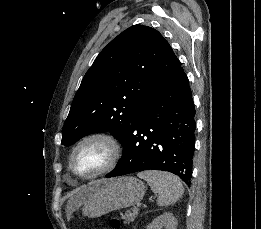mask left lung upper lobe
Masks as SVG:
<instances>
[{
    "label": "left lung upper lobe",
    "mask_w": 261,
    "mask_h": 229,
    "mask_svg": "<svg viewBox=\"0 0 261 229\" xmlns=\"http://www.w3.org/2000/svg\"><path fill=\"white\" fill-rule=\"evenodd\" d=\"M181 66L155 29L134 25L113 39L85 74L62 128L70 146L109 131L122 144L149 94Z\"/></svg>",
    "instance_id": "obj_1"
}]
</instances>
